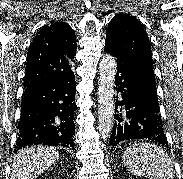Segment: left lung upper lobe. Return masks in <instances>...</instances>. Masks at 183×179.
<instances>
[{
  "label": "left lung upper lobe",
  "mask_w": 183,
  "mask_h": 179,
  "mask_svg": "<svg viewBox=\"0 0 183 179\" xmlns=\"http://www.w3.org/2000/svg\"><path fill=\"white\" fill-rule=\"evenodd\" d=\"M105 46L139 69L158 102L150 42L141 23L129 14H117L108 24Z\"/></svg>",
  "instance_id": "5c2ea615"
}]
</instances>
